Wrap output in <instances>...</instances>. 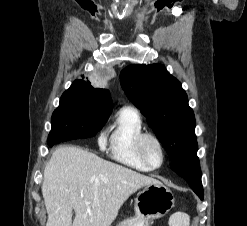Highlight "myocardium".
<instances>
[{
    "instance_id": "myocardium-1",
    "label": "myocardium",
    "mask_w": 247,
    "mask_h": 226,
    "mask_svg": "<svg viewBox=\"0 0 247 226\" xmlns=\"http://www.w3.org/2000/svg\"><path fill=\"white\" fill-rule=\"evenodd\" d=\"M148 139H151L153 140L159 150H160V154H161V161L158 165H153L149 159L147 158L146 156V153H145V142L148 140ZM136 150H137V154L139 156V158L142 160V162L144 164H146L150 169H157V168H160L164 161H165V148H164V145H163V142L161 141V139L154 133H151V132H143L141 133L137 140H136Z\"/></svg>"
}]
</instances>
